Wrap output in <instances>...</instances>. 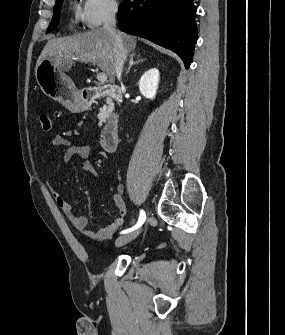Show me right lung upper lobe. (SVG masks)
Wrapping results in <instances>:
<instances>
[{"instance_id":"obj_1","label":"right lung upper lobe","mask_w":285,"mask_h":335,"mask_svg":"<svg viewBox=\"0 0 285 335\" xmlns=\"http://www.w3.org/2000/svg\"><path fill=\"white\" fill-rule=\"evenodd\" d=\"M63 0H56V4H59L60 2H62Z\"/></svg>"}]
</instances>
